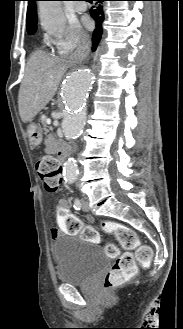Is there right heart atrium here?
I'll use <instances>...</instances> for the list:
<instances>
[{
	"mask_svg": "<svg viewBox=\"0 0 183 329\" xmlns=\"http://www.w3.org/2000/svg\"><path fill=\"white\" fill-rule=\"evenodd\" d=\"M46 39L64 54L70 52L75 46L88 43L87 34L77 22L72 23L61 36L52 38L46 35Z\"/></svg>",
	"mask_w": 183,
	"mask_h": 329,
	"instance_id": "1",
	"label": "right heart atrium"
}]
</instances>
